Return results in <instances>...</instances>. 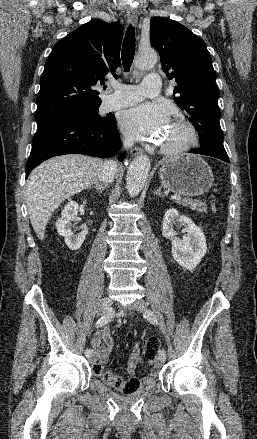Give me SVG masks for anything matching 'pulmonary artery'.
Instances as JSON below:
<instances>
[{"instance_id": "pulmonary-artery-1", "label": "pulmonary artery", "mask_w": 257, "mask_h": 439, "mask_svg": "<svg viewBox=\"0 0 257 439\" xmlns=\"http://www.w3.org/2000/svg\"><path fill=\"white\" fill-rule=\"evenodd\" d=\"M161 81L159 74L150 73L140 85H117L115 92L105 100L106 108L114 110L134 104L144 97L156 96L161 89Z\"/></svg>"}]
</instances>
